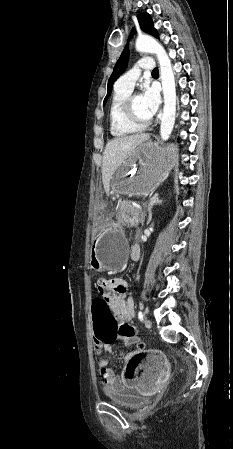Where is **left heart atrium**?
Masks as SVG:
<instances>
[{"label":"left heart atrium","mask_w":233,"mask_h":449,"mask_svg":"<svg viewBox=\"0 0 233 449\" xmlns=\"http://www.w3.org/2000/svg\"><path fill=\"white\" fill-rule=\"evenodd\" d=\"M142 98L150 116L154 115L160 106L161 97L156 85H149L144 89Z\"/></svg>","instance_id":"left-heart-atrium-1"}]
</instances>
